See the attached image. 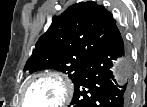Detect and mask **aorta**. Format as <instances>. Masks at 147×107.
Instances as JSON below:
<instances>
[{
    "label": "aorta",
    "mask_w": 147,
    "mask_h": 107,
    "mask_svg": "<svg viewBox=\"0 0 147 107\" xmlns=\"http://www.w3.org/2000/svg\"><path fill=\"white\" fill-rule=\"evenodd\" d=\"M128 73L126 68V61L124 59H119L115 62L113 67V75L116 80L121 79Z\"/></svg>",
    "instance_id": "aorta-1"
}]
</instances>
